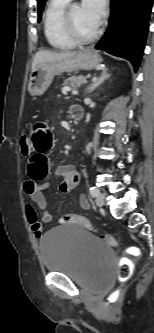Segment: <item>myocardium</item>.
<instances>
[{
    "label": "myocardium",
    "mask_w": 154,
    "mask_h": 333,
    "mask_svg": "<svg viewBox=\"0 0 154 333\" xmlns=\"http://www.w3.org/2000/svg\"><path fill=\"white\" fill-rule=\"evenodd\" d=\"M72 6L73 5H68L65 8L62 17V25L66 35L76 44H88L95 41L100 34L98 29L88 37H84L77 32L71 17Z\"/></svg>",
    "instance_id": "myocardium-1"
}]
</instances>
